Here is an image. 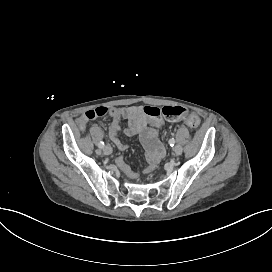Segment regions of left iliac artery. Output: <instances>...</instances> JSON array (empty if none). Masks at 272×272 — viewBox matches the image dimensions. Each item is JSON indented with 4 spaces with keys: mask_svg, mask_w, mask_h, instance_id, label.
<instances>
[{
    "mask_svg": "<svg viewBox=\"0 0 272 272\" xmlns=\"http://www.w3.org/2000/svg\"><path fill=\"white\" fill-rule=\"evenodd\" d=\"M174 144H175V139H174V138H171V139L169 140V145H170V146H174Z\"/></svg>",
    "mask_w": 272,
    "mask_h": 272,
    "instance_id": "44dca946",
    "label": "left iliac artery"
}]
</instances>
